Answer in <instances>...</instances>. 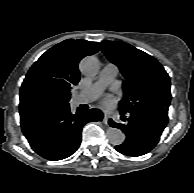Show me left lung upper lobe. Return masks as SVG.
<instances>
[{"label":"left lung upper lobe","instance_id":"left-lung-upper-lobe-1","mask_svg":"<svg viewBox=\"0 0 194 193\" xmlns=\"http://www.w3.org/2000/svg\"><path fill=\"white\" fill-rule=\"evenodd\" d=\"M102 50L126 79L120 110L168 111L171 102L170 79L154 57L120 41H103Z\"/></svg>","mask_w":194,"mask_h":193}]
</instances>
